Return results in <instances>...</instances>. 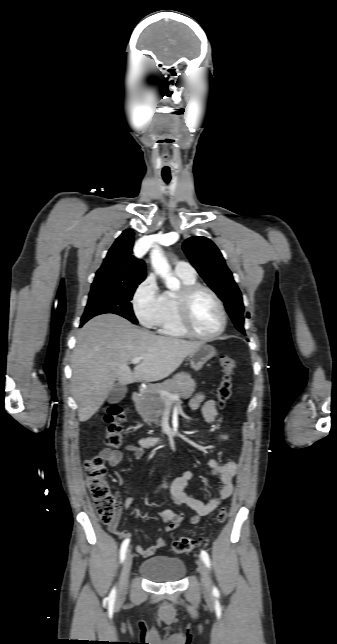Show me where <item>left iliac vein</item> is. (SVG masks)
I'll list each match as a JSON object with an SVG mask.
<instances>
[{
  "instance_id": "left-iliac-vein-1",
  "label": "left iliac vein",
  "mask_w": 337,
  "mask_h": 644,
  "mask_svg": "<svg viewBox=\"0 0 337 644\" xmlns=\"http://www.w3.org/2000/svg\"><path fill=\"white\" fill-rule=\"evenodd\" d=\"M197 563H198V570L201 576V583H202L203 590L206 594H210L212 590V585H211V580H210L207 567L201 559H199Z\"/></svg>"
}]
</instances>
